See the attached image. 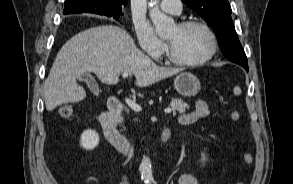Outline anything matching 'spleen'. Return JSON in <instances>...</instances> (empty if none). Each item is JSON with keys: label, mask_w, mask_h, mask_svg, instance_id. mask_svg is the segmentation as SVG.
<instances>
[{"label": "spleen", "mask_w": 293, "mask_h": 184, "mask_svg": "<svg viewBox=\"0 0 293 184\" xmlns=\"http://www.w3.org/2000/svg\"><path fill=\"white\" fill-rule=\"evenodd\" d=\"M233 93L235 95H240L241 94V89L239 87H235L234 90H233Z\"/></svg>", "instance_id": "spleen-1"}]
</instances>
